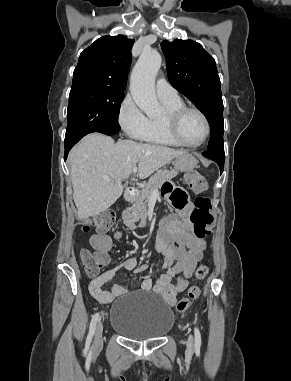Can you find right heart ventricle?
I'll use <instances>...</instances> for the list:
<instances>
[{
	"label": "right heart ventricle",
	"mask_w": 291,
	"mask_h": 381,
	"mask_svg": "<svg viewBox=\"0 0 291 381\" xmlns=\"http://www.w3.org/2000/svg\"><path fill=\"white\" fill-rule=\"evenodd\" d=\"M160 100L164 106V113L160 116H151L147 119L146 131L141 140L154 145L180 147L181 145L177 143L166 130L164 114L169 110L183 106L184 102L180 97Z\"/></svg>",
	"instance_id": "1"
}]
</instances>
